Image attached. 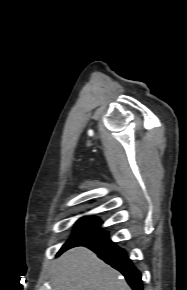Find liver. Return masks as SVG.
Masks as SVG:
<instances>
[{"instance_id": "6515ba94", "label": "liver", "mask_w": 187, "mask_h": 290, "mask_svg": "<svg viewBox=\"0 0 187 290\" xmlns=\"http://www.w3.org/2000/svg\"><path fill=\"white\" fill-rule=\"evenodd\" d=\"M52 290H131L120 273L85 247L59 257L51 273Z\"/></svg>"}]
</instances>
